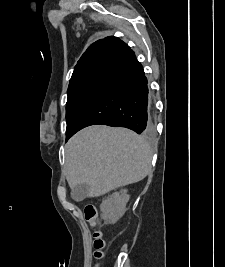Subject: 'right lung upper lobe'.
I'll return each instance as SVG.
<instances>
[{
    "mask_svg": "<svg viewBox=\"0 0 225 267\" xmlns=\"http://www.w3.org/2000/svg\"><path fill=\"white\" fill-rule=\"evenodd\" d=\"M128 49L129 46L113 36L94 42L77 62L69 85L87 77L103 75L116 58Z\"/></svg>",
    "mask_w": 225,
    "mask_h": 267,
    "instance_id": "obj_1",
    "label": "right lung upper lobe"
}]
</instances>
